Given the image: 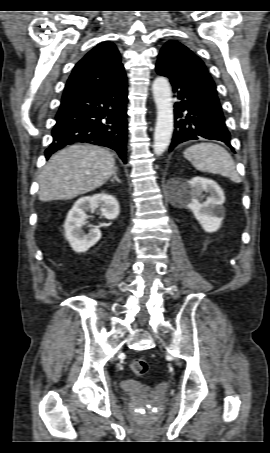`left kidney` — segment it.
I'll list each match as a JSON object with an SVG mask.
<instances>
[{
	"mask_svg": "<svg viewBox=\"0 0 270 453\" xmlns=\"http://www.w3.org/2000/svg\"><path fill=\"white\" fill-rule=\"evenodd\" d=\"M203 192L208 194L205 201ZM225 196L220 186L213 180L194 177L187 181L181 190V203L190 209L202 228L209 233L216 232L224 216Z\"/></svg>",
	"mask_w": 270,
	"mask_h": 453,
	"instance_id": "left-kidney-1",
	"label": "left kidney"
}]
</instances>
